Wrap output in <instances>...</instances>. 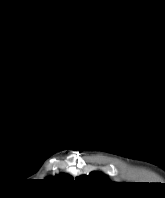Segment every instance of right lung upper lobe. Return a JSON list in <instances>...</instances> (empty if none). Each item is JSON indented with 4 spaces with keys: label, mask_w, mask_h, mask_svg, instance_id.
I'll use <instances>...</instances> for the list:
<instances>
[{
    "label": "right lung upper lobe",
    "mask_w": 165,
    "mask_h": 198,
    "mask_svg": "<svg viewBox=\"0 0 165 198\" xmlns=\"http://www.w3.org/2000/svg\"><path fill=\"white\" fill-rule=\"evenodd\" d=\"M50 179H64V180H72L71 177L69 175H65V174H62V175H59V176H56V177H50Z\"/></svg>",
    "instance_id": "cb5924a9"
}]
</instances>
